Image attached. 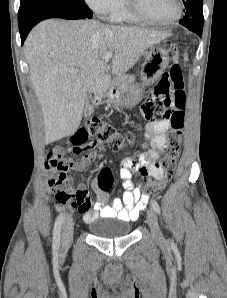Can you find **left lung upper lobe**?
<instances>
[{
  "mask_svg": "<svg viewBox=\"0 0 227 298\" xmlns=\"http://www.w3.org/2000/svg\"><path fill=\"white\" fill-rule=\"evenodd\" d=\"M186 13L180 24L187 27L191 31H198L203 29V0H183Z\"/></svg>",
  "mask_w": 227,
  "mask_h": 298,
  "instance_id": "5c2ea615",
  "label": "left lung upper lobe"
}]
</instances>
